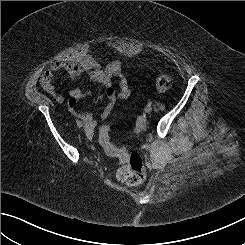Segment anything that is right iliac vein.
<instances>
[{"label":"right iliac vein","mask_w":245,"mask_h":245,"mask_svg":"<svg viewBox=\"0 0 245 245\" xmlns=\"http://www.w3.org/2000/svg\"><path fill=\"white\" fill-rule=\"evenodd\" d=\"M83 126V124L81 123L80 125H79V127H82Z\"/></svg>","instance_id":"right-iliac-vein-1"}]
</instances>
